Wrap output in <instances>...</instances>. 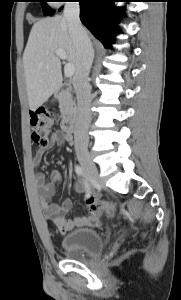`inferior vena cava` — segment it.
Returning <instances> with one entry per match:
<instances>
[{
	"label": "inferior vena cava",
	"instance_id": "1",
	"mask_svg": "<svg viewBox=\"0 0 181 300\" xmlns=\"http://www.w3.org/2000/svg\"><path fill=\"white\" fill-rule=\"evenodd\" d=\"M78 2H67L63 18L67 22L69 33L76 49V72L73 86L77 97L74 129L75 151L86 152L89 142L88 128L91 121V86L88 80L94 59V50L86 30L80 21Z\"/></svg>",
	"mask_w": 181,
	"mask_h": 300
}]
</instances>
